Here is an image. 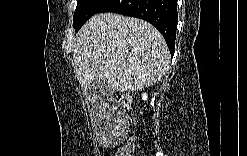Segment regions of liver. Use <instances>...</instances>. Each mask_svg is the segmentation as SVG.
<instances>
[{"instance_id": "liver-1", "label": "liver", "mask_w": 247, "mask_h": 156, "mask_svg": "<svg viewBox=\"0 0 247 156\" xmlns=\"http://www.w3.org/2000/svg\"><path fill=\"white\" fill-rule=\"evenodd\" d=\"M75 72L85 90L96 80L114 91H138L168 71L169 50L150 23L115 13L94 15L80 29L73 49Z\"/></svg>"}]
</instances>
